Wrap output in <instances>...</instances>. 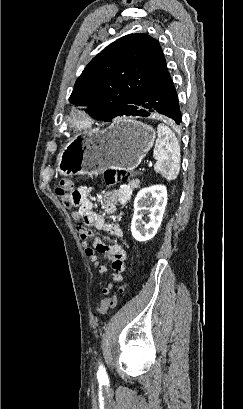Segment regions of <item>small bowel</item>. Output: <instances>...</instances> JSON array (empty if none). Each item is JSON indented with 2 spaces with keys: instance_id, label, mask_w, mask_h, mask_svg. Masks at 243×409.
<instances>
[{
  "instance_id": "obj_1",
  "label": "small bowel",
  "mask_w": 243,
  "mask_h": 409,
  "mask_svg": "<svg viewBox=\"0 0 243 409\" xmlns=\"http://www.w3.org/2000/svg\"><path fill=\"white\" fill-rule=\"evenodd\" d=\"M139 180L135 179L129 183L121 185L116 190L106 193L103 197V208L107 214L116 212L118 205H125L130 200L132 193L139 187ZM91 188L80 187L77 189L79 196L78 209L72 213V219L77 224V231L85 253L100 277L106 276L108 267L101 263L98 254H103L111 261L112 280L114 283L123 280L122 273L126 269V252L120 244L107 245L100 238L95 237L91 227L105 231L118 239H122L124 234L119 225L106 223L103 218L94 211V204L90 198ZM113 283L102 285L98 282V287L104 295H108L113 288Z\"/></svg>"
}]
</instances>
